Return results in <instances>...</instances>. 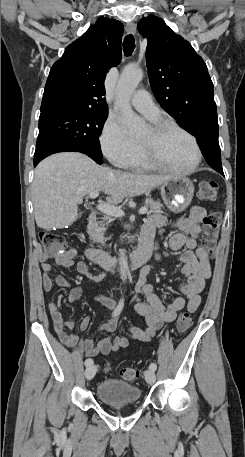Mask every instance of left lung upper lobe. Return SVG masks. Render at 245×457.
Here are the masks:
<instances>
[{"label": "left lung upper lobe", "instance_id": "left-lung-upper-lobe-1", "mask_svg": "<svg viewBox=\"0 0 245 457\" xmlns=\"http://www.w3.org/2000/svg\"><path fill=\"white\" fill-rule=\"evenodd\" d=\"M147 37L146 63L157 101L191 134L218 125L213 83L190 43L154 15L138 23Z\"/></svg>", "mask_w": 245, "mask_h": 457}]
</instances>
